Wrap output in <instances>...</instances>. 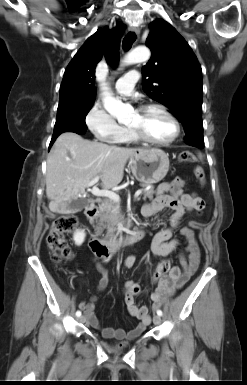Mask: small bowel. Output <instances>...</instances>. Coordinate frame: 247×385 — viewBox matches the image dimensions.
I'll return each instance as SVG.
<instances>
[{"label": "small bowel", "instance_id": "small-bowel-1", "mask_svg": "<svg viewBox=\"0 0 247 385\" xmlns=\"http://www.w3.org/2000/svg\"><path fill=\"white\" fill-rule=\"evenodd\" d=\"M185 182L181 178L173 182L163 183L158 187L157 195L153 201L147 203L142 208V213L150 217L164 208H170L174 211L170 218L169 227L160 229L152 238L151 251L158 256H167L175 251L179 241L173 238L174 230L179 226L182 218L189 212L201 213L205 208V201L195 192H183ZM196 221L189 222V225L180 229L181 236L186 240L184 250L178 254L181 267L172 266L168 260H163L169 264L166 273H154V280L157 281V287L151 294L150 299L153 302V309L159 308L166 296H172L177 289L182 288L187 281L196 272L200 263V250L195 236L194 229L197 228ZM187 254V257L185 256ZM136 259L133 256L124 260L123 266L126 269L134 267ZM97 269L101 274L97 290L104 291L109 282V275L106 268L101 263L97 264ZM136 288V291L133 290ZM139 292V286L128 281L123 286L124 301L129 313L139 320V324L131 331L125 332L122 329L102 327L95 315V304L97 296L94 295L88 301H82L79 307L83 311L85 321L94 329L99 330L105 338H114L119 340H132L140 336L151 323L149 310L146 306H139L135 302V295Z\"/></svg>", "mask_w": 247, "mask_h": 385}]
</instances>
